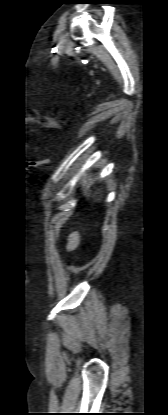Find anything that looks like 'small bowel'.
<instances>
[{
  "label": "small bowel",
  "mask_w": 168,
  "mask_h": 415,
  "mask_svg": "<svg viewBox=\"0 0 168 415\" xmlns=\"http://www.w3.org/2000/svg\"><path fill=\"white\" fill-rule=\"evenodd\" d=\"M79 244V235L77 233H73L68 237L67 240V250L68 251H73L76 249V247Z\"/></svg>",
  "instance_id": "1"
}]
</instances>
